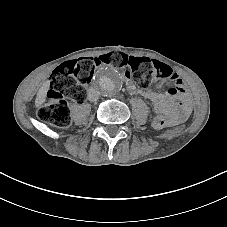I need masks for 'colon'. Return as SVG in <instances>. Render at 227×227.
Here are the masks:
<instances>
[{
	"label": "colon",
	"instance_id": "colon-1",
	"mask_svg": "<svg viewBox=\"0 0 227 227\" xmlns=\"http://www.w3.org/2000/svg\"><path fill=\"white\" fill-rule=\"evenodd\" d=\"M101 65H111L124 70L126 76L133 78L142 88L151 84L168 85L170 95H179L184 91L180 77L167 64L145 57H132L111 52L97 58L84 57L67 61L55 69L49 80L47 101L39 108V118L58 128H67L71 124V115L67 98L82 102L86 97V87L90 83L94 70ZM168 121L161 115L152 119L156 129L165 128Z\"/></svg>",
	"mask_w": 227,
	"mask_h": 227
}]
</instances>
